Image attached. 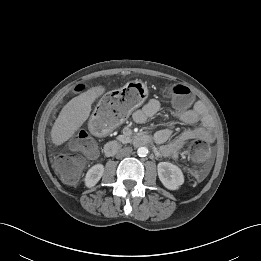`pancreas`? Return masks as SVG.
Here are the masks:
<instances>
[{
    "label": "pancreas",
    "instance_id": "cf45deb5",
    "mask_svg": "<svg viewBox=\"0 0 261 261\" xmlns=\"http://www.w3.org/2000/svg\"><path fill=\"white\" fill-rule=\"evenodd\" d=\"M117 140H119L122 143H128L131 140V136L129 134L119 135L117 137Z\"/></svg>",
    "mask_w": 261,
    "mask_h": 261
}]
</instances>
